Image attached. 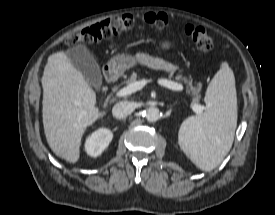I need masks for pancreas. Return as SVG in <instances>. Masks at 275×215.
I'll return each instance as SVG.
<instances>
[{
  "mask_svg": "<svg viewBox=\"0 0 275 215\" xmlns=\"http://www.w3.org/2000/svg\"><path fill=\"white\" fill-rule=\"evenodd\" d=\"M173 74H171L169 77L171 78ZM137 73H132L128 80L125 82L127 85L134 83L137 81ZM175 80L181 83H184L186 85L187 92L193 96L191 106L198 104L201 96H200V91H201V84H194L192 80L188 79L187 77L177 74L175 77Z\"/></svg>",
  "mask_w": 275,
  "mask_h": 215,
  "instance_id": "obj_1",
  "label": "pancreas"
}]
</instances>
